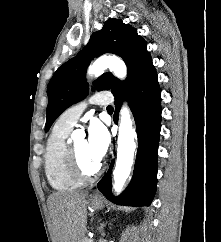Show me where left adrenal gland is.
<instances>
[{
	"label": "left adrenal gland",
	"mask_w": 221,
	"mask_h": 242,
	"mask_svg": "<svg viewBox=\"0 0 221 242\" xmlns=\"http://www.w3.org/2000/svg\"><path fill=\"white\" fill-rule=\"evenodd\" d=\"M103 226H104V224H102L100 228H102V229H103ZM101 235H102V236H104L103 231H101ZM102 242H106V241H102Z\"/></svg>",
	"instance_id": "a2214340"
}]
</instances>
